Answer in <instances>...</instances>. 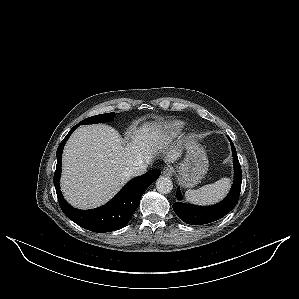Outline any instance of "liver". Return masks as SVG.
<instances>
[{
	"label": "liver",
	"mask_w": 299,
	"mask_h": 299,
	"mask_svg": "<svg viewBox=\"0 0 299 299\" xmlns=\"http://www.w3.org/2000/svg\"><path fill=\"white\" fill-rule=\"evenodd\" d=\"M167 148L168 139L156 124H144L133 130L128 144L108 125L81 126L63 151V195L76 208L99 207L131 178L128 172L131 168L149 164L160 152L166 155L167 162L180 157L179 147Z\"/></svg>",
	"instance_id": "liver-1"
}]
</instances>
